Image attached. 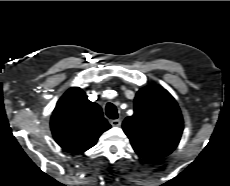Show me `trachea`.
Segmentation results:
<instances>
[{"instance_id": "trachea-1", "label": "trachea", "mask_w": 230, "mask_h": 186, "mask_svg": "<svg viewBox=\"0 0 230 186\" xmlns=\"http://www.w3.org/2000/svg\"><path fill=\"white\" fill-rule=\"evenodd\" d=\"M106 115L110 119H117L118 118L117 108L115 107L114 104L107 103V105H106Z\"/></svg>"}]
</instances>
